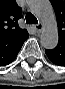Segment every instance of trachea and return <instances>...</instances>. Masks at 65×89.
Instances as JSON below:
<instances>
[{
  "label": "trachea",
  "mask_w": 65,
  "mask_h": 89,
  "mask_svg": "<svg viewBox=\"0 0 65 89\" xmlns=\"http://www.w3.org/2000/svg\"><path fill=\"white\" fill-rule=\"evenodd\" d=\"M25 19H26L27 24H37L38 23L37 18L31 13H27L25 16Z\"/></svg>",
  "instance_id": "trachea-1"
}]
</instances>
